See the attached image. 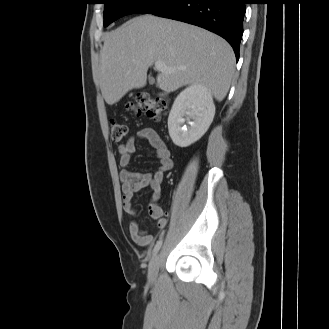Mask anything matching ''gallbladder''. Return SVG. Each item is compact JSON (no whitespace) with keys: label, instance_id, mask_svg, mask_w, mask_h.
<instances>
[{"label":"gallbladder","instance_id":"bac80fb5","mask_svg":"<svg viewBox=\"0 0 329 329\" xmlns=\"http://www.w3.org/2000/svg\"><path fill=\"white\" fill-rule=\"evenodd\" d=\"M149 83H154V79L152 77L149 78Z\"/></svg>","mask_w":329,"mask_h":329}]
</instances>
